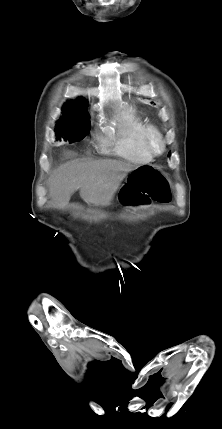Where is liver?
I'll use <instances>...</instances> for the list:
<instances>
[{"label": "liver", "instance_id": "6515ba94", "mask_svg": "<svg viewBox=\"0 0 222 429\" xmlns=\"http://www.w3.org/2000/svg\"><path fill=\"white\" fill-rule=\"evenodd\" d=\"M135 169L133 164L112 159L68 162L50 175L49 195L53 207H65L78 189L87 204L107 206L127 173Z\"/></svg>", "mask_w": 222, "mask_h": 429}]
</instances>
